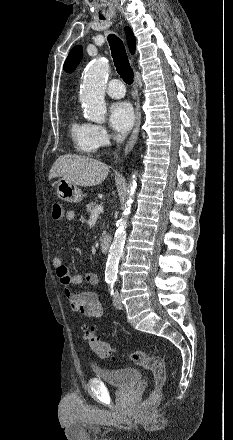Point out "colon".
Masks as SVG:
<instances>
[{
    "mask_svg": "<svg viewBox=\"0 0 233 440\" xmlns=\"http://www.w3.org/2000/svg\"><path fill=\"white\" fill-rule=\"evenodd\" d=\"M63 216V206L60 203L53 205L52 217L53 219H60ZM84 339L90 344L93 352L101 359H112L113 349L111 345L100 338L97 330L90 325H83L82 327ZM129 359L154 373L155 387L144 401L142 410L148 412L154 409L160 402L162 397V387L166 380L165 366L163 360L148 352L135 350L129 354Z\"/></svg>",
    "mask_w": 233,
    "mask_h": 440,
    "instance_id": "obj_1",
    "label": "colon"
}]
</instances>
